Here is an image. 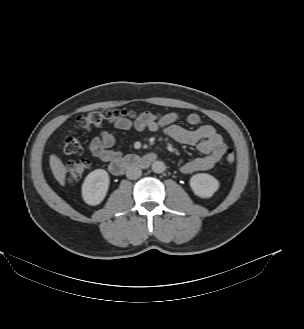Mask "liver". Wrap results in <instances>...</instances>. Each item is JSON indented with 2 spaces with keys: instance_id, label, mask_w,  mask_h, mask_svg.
I'll return each mask as SVG.
<instances>
[{
  "instance_id": "1",
  "label": "liver",
  "mask_w": 304,
  "mask_h": 329,
  "mask_svg": "<svg viewBox=\"0 0 304 329\" xmlns=\"http://www.w3.org/2000/svg\"><path fill=\"white\" fill-rule=\"evenodd\" d=\"M49 164L55 179L59 182L60 185L64 186L66 177L65 165L55 154L50 156Z\"/></svg>"
}]
</instances>
